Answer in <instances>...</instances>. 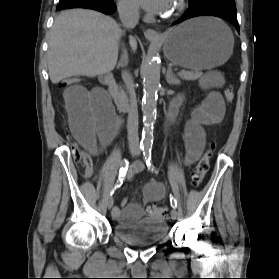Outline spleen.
Instances as JSON below:
<instances>
[{"instance_id":"spleen-1","label":"spleen","mask_w":279,"mask_h":279,"mask_svg":"<svg viewBox=\"0 0 279 279\" xmlns=\"http://www.w3.org/2000/svg\"><path fill=\"white\" fill-rule=\"evenodd\" d=\"M224 26L232 34L230 29L226 25ZM200 84L207 87H221L223 85V79L218 72H208L201 78Z\"/></svg>"}]
</instances>
